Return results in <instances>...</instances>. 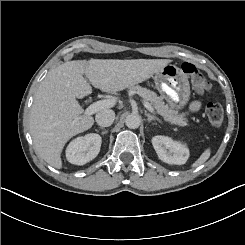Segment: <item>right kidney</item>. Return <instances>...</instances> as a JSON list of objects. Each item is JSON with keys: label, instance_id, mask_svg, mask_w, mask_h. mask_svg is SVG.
Returning a JSON list of instances; mask_svg holds the SVG:
<instances>
[{"label": "right kidney", "instance_id": "1", "mask_svg": "<svg viewBox=\"0 0 245 245\" xmlns=\"http://www.w3.org/2000/svg\"><path fill=\"white\" fill-rule=\"evenodd\" d=\"M102 138L97 133H88L72 139L65 150V156L69 163L84 165L93 160L99 153Z\"/></svg>", "mask_w": 245, "mask_h": 245}]
</instances>
